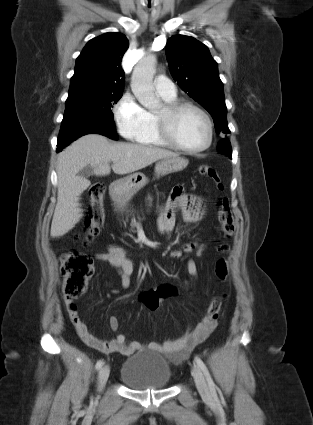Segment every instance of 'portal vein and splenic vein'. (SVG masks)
<instances>
[{
  "label": "portal vein and splenic vein",
  "instance_id": "18ae733b",
  "mask_svg": "<svg viewBox=\"0 0 313 425\" xmlns=\"http://www.w3.org/2000/svg\"><path fill=\"white\" fill-rule=\"evenodd\" d=\"M113 162H117L118 160L117 159H114V160H112Z\"/></svg>",
  "mask_w": 313,
  "mask_h": 425
}]
</instances>
